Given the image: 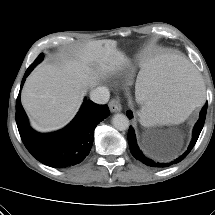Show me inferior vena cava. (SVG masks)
<instances>
[{
	"label": "inferior vena cava",
	"mask_w": 215,
	"mask_h": 215,
	"mask_svg": "<svg viewBox=\"0 0 215 215\" xmlns=\"http://www.w3.org/2000/svg\"><path fill=\"white\" fill-rule=\"evenodd\" d=\"M109 98L110 92L107 87H97L90 92V99L97 104H106Z\"/></svg>",
	"instance_id": "602c4592"
}]
</instances>
